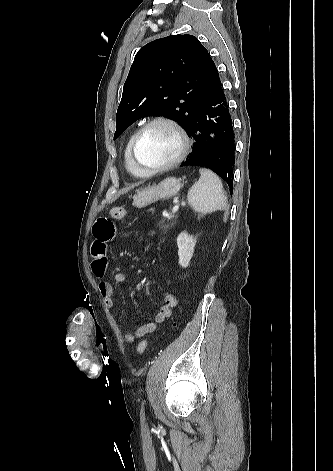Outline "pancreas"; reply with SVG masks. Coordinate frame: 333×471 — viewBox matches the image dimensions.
<instances>
[{
    "mask_svg": "<svg viewBox=\"0 0 333 471\" xmlns=\"http://www.w3.org/2000/svg\"><path fill=\"white\" fill-rule=\"evenodd\" d=\"M174 219H175V216L163 217L158 223L159 229L166 232L168 229L174 226L175 224Z\"/></svg>",
    "mask_w": 333,
    "mask_h": 471,
    "instance_id": "pancreas-1",
    "label": "pancreas"
}]
</instances>
